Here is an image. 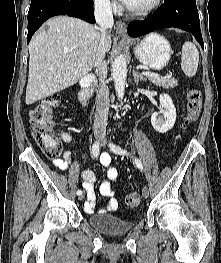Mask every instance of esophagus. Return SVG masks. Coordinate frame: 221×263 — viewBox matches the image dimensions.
I'll return each instance as SVG.
<instances>
[{
  "instance_id": "1",
  "label": "esophagus",
  "mask_w": 221,
  "mask_h": 263,
  "mask_svg": "<svg viewBox=\"0 0 221 263\" xmlns=\"http://www.w3.org/2000/svg\"><path fill=\"white\" fill-rule=\"evenodd\" d=\"M117 35L121 38H128L126 24L122 21L116 22Z\"/></svg>"
}]
</instances>
